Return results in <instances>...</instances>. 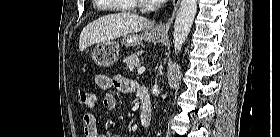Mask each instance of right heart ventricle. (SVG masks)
I'll return each mask as SVG.
<instances>
[{
  "instance_id": "e07e8e85",
  "label": "right heart ventricle",
  "mask_w": 280,
  "mask_h": 137,
  "mask_svg": "<svg viewBox=\"0 0 280 137\" xmlns=\"http://www.w3.org/2000/svg\"><path fill=\"white\" fill-rule=\"evenodd\" d=\"M96 2H102V1H105V0H95ZM121 2H129L130 0H119ZM119 10L121 11H130L131 9L130 8H127V7H121Z\"/></svg>"
}]
</instances>
